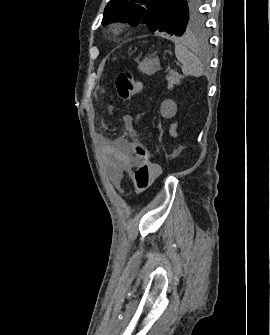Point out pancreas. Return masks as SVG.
Returning <instances> with one entry per match:
<instances>
[{
	"label": "pancreas",
	"mask_w": 270,
	"mask_h": 335,
	"mask_svg": "<svg viewBox=\"0 0 270 335\" xmlns=\"http://www.w3.org/2000/svg\"><path fill=\"white\" fill-rule=\"evenodd\" d=\"M183 76H180L178 72H169L168 76H166V80L168 82V90H172L175 84L179 86L180 80H182Z\"/></svg>",
	"instance_id": "pancreas-1"
}]
</instances>
